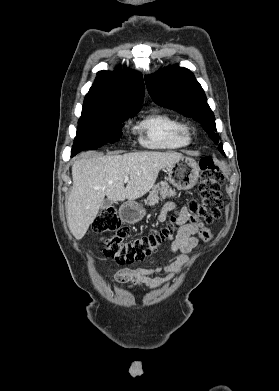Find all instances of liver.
I'll list each match as a JSON object with an SVG mask.
<instances>
[{"label": "liver", "mask_w": 279, "mask_h": 391, "mask_svg": "<svg viewBox=\"0 0 279 391\" xmlns=\"http://www.w3.org/2000/svg\"><path fill=\"white\" fill-rule=\"evenodd\" d=\"M183 158L178 152H133L123 155L94 154L72 166L73 187L66 206L67 222L79 240L96 218L105 196L111 201H133L145 195L161 169ZM128 177L127 186L124 179Z\"/></svg>", "instance_id": "6515ba94"}]
</instances>
